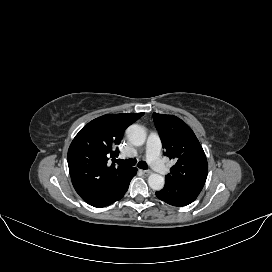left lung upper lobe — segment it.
Listing matches in <instances>:
<instances>
[{
  "label": "left lung upper lobe",
  "instance_id": "obj_1",
  "mask_svg": "<svg viewBox=\"0 0 272 272\" xmlns=\"http://www.w3.org/2000/svg\"><path fill=\"white\" fill-rule=\"evenodd\" d=\"M153 119L162 140L164 154L175 160L166 184H205L208 164L203 148L191 128L173 115L153 113Z\"/></svg>",
  "mask_w": 272,
  "mask_h": 272
}]
</instances>
